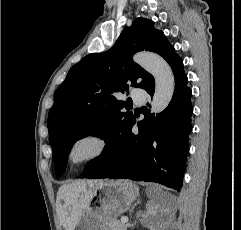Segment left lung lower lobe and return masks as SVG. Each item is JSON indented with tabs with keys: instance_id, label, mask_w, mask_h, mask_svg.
<instances>
[{
	"instance_id": "left-lung-lower-lobe-1",
	"label": "left lung lower lobe",
	"mask_w": 241,
	"mask_h": 230,
	"mask_svg": "<svg viewBox=\"0 0 241 230\" xmlns=\"http://www.w3.org/2000/svg\"><path fill=\"white\" fill-rule=\"evenodd\" d=\"M169 65L176 81L169 106L156 116L144 112V119L138 122V134L132 132L134 118L106 144L99 157L87 164L80 178H127L181 188L192 130V92L187 87L182 59L176 55ZM145 90L152 97L155 82Z\"/></svg>"
}]
</instances>
